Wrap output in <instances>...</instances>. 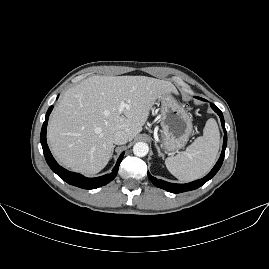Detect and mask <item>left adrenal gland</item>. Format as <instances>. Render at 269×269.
Wrapping results in <instances>:
<instances>
[{"label": "left adrenal gland", "instance_id": "obj_1", "mask_svg": "<svg viewBox=\"0 0 269 269\" xmlns=\"http://www.w3.org/2000/svg\"><path fill=\"white\" fill-rule=\"evenodd\" d=\"M155 147H156V149L158 151V156H161L162 159L164 160V154L160 151V148H159V146L156 143H155Z\"/></svg>", "mask_w": 269, "mask_h": 269}]
</instances>
